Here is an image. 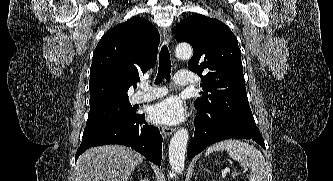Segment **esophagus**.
<instances>
[{"mask_svg":"<svg viewBox=\"0 0 333 181\" xmlns=\"http://www.w3.org/2000/svg\"><path fill=\"white\" fill-rule=\"evenodd\" d=\"M163 36L165 40L169 43L172 38V31L170 27H164L163 29ZM175 129L172 127L162 126L160 132L163 137L170 136L174 133Z\"/></svg>","mask_w":333,"mask_h":181,"instance_id":"obj_1","label":"esophagus"}]
</instances>
